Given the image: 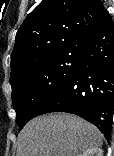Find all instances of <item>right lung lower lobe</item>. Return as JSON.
Here are the masks:
<instances>
[{
  "instance_id": "1",
  "label": "right lung lower lobe",
  "mask_w": 114,
  "mask_h": 156,
  "mask_svg": "<svg viewBox=\"0 0 114 156\" xmlns=\"http://www.w3.org/2000/svg\"><path fill=\"white\" fill-rule=\"evenodd\" d=\"M78 46L83 57L74 77L39 115L76 114L97 126L109 140L114 110V22L110 14Z\"/></svg>"
}]
</instances>
